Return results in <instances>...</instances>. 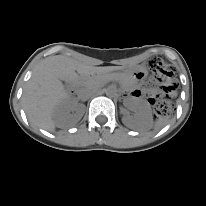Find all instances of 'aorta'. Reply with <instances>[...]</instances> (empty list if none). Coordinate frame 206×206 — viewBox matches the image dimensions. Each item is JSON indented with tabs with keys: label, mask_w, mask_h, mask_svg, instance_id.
<instances>
[{
	"label": "aorta",
	"mask_w": 206,
	"mask_h": 206,
	"mask_svg": "<svg viewBox=\"0 0 206 206\" xmlns=\"http://www.w3.org/2000/svg\"><path fill=\"white\" fill-rule=\"evenodd\" d=\"M106 94L108 96H114L117 93V90L114 86H109L106 90H105Z\"/></svg>",
	"instance_id": "1"
}]
</instances>
